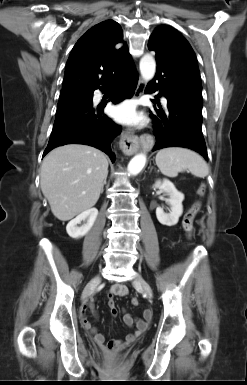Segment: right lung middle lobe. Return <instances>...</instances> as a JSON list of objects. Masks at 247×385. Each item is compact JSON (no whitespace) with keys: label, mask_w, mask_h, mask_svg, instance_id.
I'll list each match as a JSON object with an SVG mask.
<instances>
[{"label":"right lung middle lobe","mask_w":247,"mask_h":385,"mask_svg":"<svg viewBox=\"0 0 247 385\" xmlns=\"http://www.w3.org/2000/svg\"><path fill=\"white\" fill-rule=\"evenodd\" d=\"M91 90H66L60 93L57 112L69 108L80 102L91 101L93 96Z\"/></svg>","instance_id":"dd1d6c3e"}]
</instances>
